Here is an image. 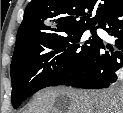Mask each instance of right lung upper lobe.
I'll return each instance as SVG.
<instances>
[{
    "mask_svg": "<svg viewBox=\"0 0 123 113\" xmlns=\"http://www.w3.org/2000/svg\"><path fill=\"white\" fill-rule=\"evenodd\" d=\"M123 0H32L24 11L16 45L73 29L92 28Z\"/></svg>",
    "mask_w": 123,
    "mask_h": 113,
    "instance_id": "cb5924a9",
    "label": "right lung upper lobe"
}]
</instances>
